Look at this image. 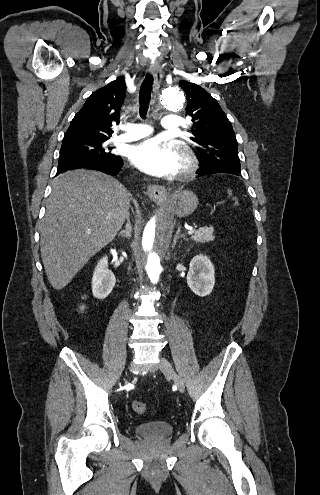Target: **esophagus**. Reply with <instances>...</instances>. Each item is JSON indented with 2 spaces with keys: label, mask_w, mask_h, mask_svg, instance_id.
<instances>
[{
  "label": "esophagus",
  "mask_w": 320,
  "mask_h": 495,
  "mask_svg": "<svg viewBox=\"0 0 320 495\" xmlns=\"http://www.w3.org/2000/svg\"><path fill=\"white\" fill-rule=\"evenodd\" d=\"M149 72L154 78L153 92L155 98L161 83V70L159 65L157 63L150 64ZM147 194L153 201H162L165 199L167 191L164 186L150 184L147 186Z\"/></svg>",
  "instance_id": "34e87169"
}]
</instances>
